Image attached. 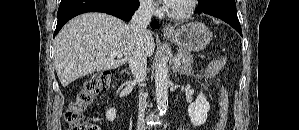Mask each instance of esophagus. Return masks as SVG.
Segmentation results:
<instances>
[{
    "mask_svg": "<svg viewBox=\"0 0 299 130\" xmlns=\"http://www.w3.org/2000/svg\"><path fill=\"white\" fill-rule=\"evenodd\" d=\"M162 32L164 34H171V33H173L174 32L173 26L171 24L164 25V27L162 29Z\"/></svg>",
    "mask_w": 299,
    "mask_h": 130,
    "instance_id": "esophagus-1",
    "label": "esophagus"
}]
</instances>
